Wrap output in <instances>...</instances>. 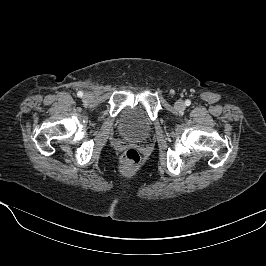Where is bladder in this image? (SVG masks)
<instances>
[{
    "label": "bladder",
    "mask_w": 266,
    "mask_h": 266,
    "mask_svg": "<svg viewBox=\"0 0 266 266\" xmlns=\"http://www.w3.org/2000/svg\"><path fill=\"white\" fill-rule=\"evenodd\" d=\"M118 124L122 134L132 140H142L151 132V120L141 106L126 107Z\"/></svg>",
    "instance_id": "1"
}]
</instances>
